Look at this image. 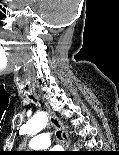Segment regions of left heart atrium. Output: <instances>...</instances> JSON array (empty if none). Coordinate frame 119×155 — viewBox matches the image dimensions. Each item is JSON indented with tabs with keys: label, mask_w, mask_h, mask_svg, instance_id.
<instances>
[{
	"label": "left heart atrium",
	"mask_w": 119,
	"mask_h": 155,
	"mask_svg": "<svg viewBox=\"0 0 119 155\" xmlns=\"http://www.w3.org/2000/svg\"><path fill=\"white\" fill-rule=\"evenodd\" d=\"M49 155H60V154H58L57 151H53V152H51Z\"/></svg>",
	"instance_id": "1"
}]
</instances>
